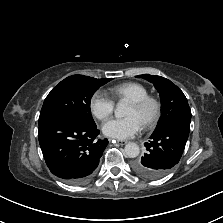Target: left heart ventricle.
<instances>
[{"mask_svg": "<svg viewBox=\"0 0 223 223\" xmlns=\"http://www.w3.org/2000/svg\"><path fill=\"white\" fill-rule=\"evenodd\" d=\"M150 110H139L136 107H134L132 104H130L126 110L125 115L126 116H134L138 119V121L142 124L144 119L149 115Z\"/></svg>", "mask_w": 223, "mask_h": 223, "instance_id": "left-heart-ventricle-1", "label": "left heart ventricle"}]
</instances>
